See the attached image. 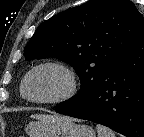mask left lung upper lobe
Wrapping results in <instances>:
<instances>
[{"mask_svg":"<svg viewBox=\"0 0 144 137\" xmlns=\"http://www.w3.org/2000/svg\"><path fill=\"white\" fill-rule=\"evenodd\" d=\"M144 17L129 0H90L44 21L25 47L27 60L56 57L81 80L74 101L91 91L107 69L128 52Z\"/></svg>","mask_w":144,"mask_h":137,"instance_id":"1","label":"left lung upper lobe"}]
</instances>
